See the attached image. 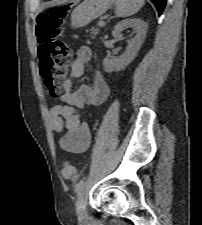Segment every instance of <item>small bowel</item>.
I'll return each mask as SVG.
<instances>
[{"mask_svg":"<svg viewBox=\"0 0 202 225\" xmlns=\"http://www.w3.org/2000/svg\"><path fill=\"white\" fill-rule=\"evenodd\" d=\"M91 58L92 50L89 46H81L77 50L69 78L63 84L60 96L62 104L54 105L49 111L52 130L64 133L61 145L71 153H84L91 144L89 126L82 121L79 111L85 106L102 104L110 92L107 81L98 71L93 74L92 86L81 84L72 90V81L83 76Z\"/></svg>","mask_w":202,"mask_h":225,"instance_id":"small-bowel-1","label":"small bowel"}]
</instances>
